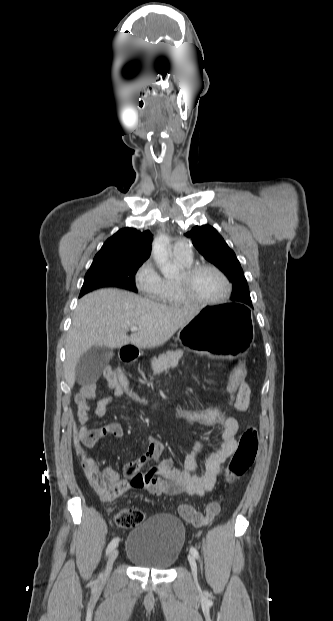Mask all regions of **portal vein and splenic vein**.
Segmentation results:
<instances>
[{"instance_id":"portal-vein-and-splenic-vein-1","label":"portal vein and splenic vein","mask_w":333,"mask_h":621,"mask_svg":"<svg viewBox=\"0 0 333 621\" xmlns=\"http://www.w3.org/2000/svg\"><path fill=\"white\" fill-rule=\"evenodd\" d=\"M130 330H131L132 332H135V331L140 330V328H138V327H136V326H132V327H130Z\"/></svg>"}]
</instances>
